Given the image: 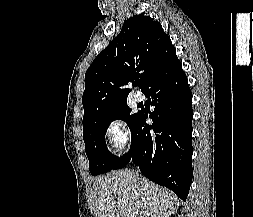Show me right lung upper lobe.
Returning <instances> with one entry per match:
<instances>
[{
    "mask_svg": "<svg viewBox=\"0 0 253 217\" xmlns=\"http://www.w3.org/2000/svg\"><path fill=\"white\" fill-rule=\"evenodd\" d=\"M178 61L175 47L158 21L144 15L128 19L85 74L83 123L126 102L131 90L122 86L135 83L139 77L145 92L154 79Z\"/></svg>",
    "mask_w": 253,
    "mask_h": 217,
    "instance_id": "1",
    "label": "right lung upper lobe"
}]
</instances>
